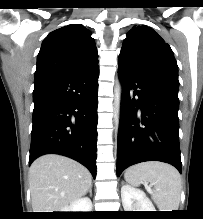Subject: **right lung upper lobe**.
I'll return each instance as SVG.
<instances>
[{
	"instance_id": "right-lung-upper-lobe-1",
	"label": "right lung upper lobe",
	"mask_w": 203,
	"mask_h": 219,
	"mask_svg": "<svg viewBox=\"0 0 203 219\" xmlns=\"http://www.w3.org/2000/svg\"><path fill=\"white\" fill-rule=\"evenodd\" d=\"M98 65L91 32L80 24L52 31L44 39L37 56L35 77L43 74L88 70Z\"/></svg>"
}]
</instances>
